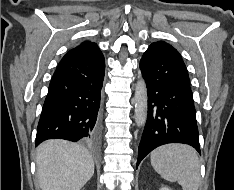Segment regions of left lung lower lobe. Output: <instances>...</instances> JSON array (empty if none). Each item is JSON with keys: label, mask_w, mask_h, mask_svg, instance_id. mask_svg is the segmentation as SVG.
<instances>
[{"label": "left lung lower lobe", "mask_w": 234, "mask_h": 190, "mask_svg": "<svg viewBox=\"0 0 234 190\" xmlns=\"http://www.w3.org/2000/svg\"><path fill=\"white\" fill-rule=\"evenodd\" d=\"M183 65L179 52L164 41L152 43L140 60L148 115L136 168L149 152L168 143L188 144L201 153L193 93Z\"/></svg>", "instance_id": "0a47b994"}]
</instances>
